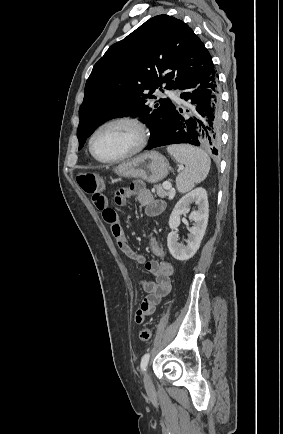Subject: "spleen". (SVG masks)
Segmentation results:
<instances>
[{
	"instance_id": "obj_1",
	"label": "spleen",
	"mask_w": 283,
	"mask_h": 434,
	"mask_svg": "<svg viewBox=\"0 0 283 434\" xmlns=\"http://www.w3.org/2000/svg\"><path fill=\"white\" fill-rule=\"evenodd\" d=\"M167 150L179 163L185 166L176 178V187L179 192H188L195 184L207 177L211 160L206 152L190 145H173L169 146Z\"/></svg>"
}]
</instances>
